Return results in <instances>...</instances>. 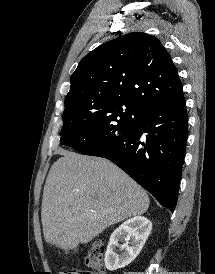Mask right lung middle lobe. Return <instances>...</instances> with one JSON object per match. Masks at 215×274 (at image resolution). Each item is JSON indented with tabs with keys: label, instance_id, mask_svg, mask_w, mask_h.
I'll use <instances>...</instances> for the list:
<instances>
[{
	"label": "right lung middle lobe",
	"instance_id": "dd1d6c3e",
	"mask_svg": "<svg viewBox=\"0 0 215 274\" xmlns=\"http://www.w3.org/2000/svg\"><path fill=\"white\" fill-rule=\"evenodd\" d=\"M142 110L120 101L65 102L61 143L85 153L126 133Z\"/></svg>",
	"mask_w": 215,
	"mask_h": 274
}]
</instances>
